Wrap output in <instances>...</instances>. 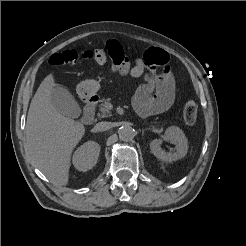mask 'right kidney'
Instances as JSON below:
<instances>
[{
	"label": "right kidney",
	"instance_id": "right-kidney-1",
	"mask_svg": "<svg viewBox=\"0 0 246 246\" xmlns=\"http://www.w3.org/2000/svg\"><path fill=\"white\" fill-rule=\"evenodd\" d=\"M100 153V145L94 141H88L81 145L74 153L72 162L74 167L86 172L92 169L98 160Z\"/></svg>",
	"mask_w": 246,
	"mask_h": 246
}]
</instances>
